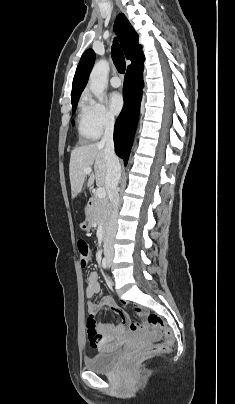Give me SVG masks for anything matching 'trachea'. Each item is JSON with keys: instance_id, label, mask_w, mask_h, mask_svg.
Masks as SVG:
<instances>
[{"instance_id": "trachea-1", "label": "trachea", "mask_w": 235, "mask_h": 404, "mask_svg": "<svg viewBox=\"0 0 235 404\" xmlns=\"http://www.w3.org/2000/svg\"><path fill=\"white\" fill-rule=\"evenodd\" d=\"M112 59L114 62V65L116 67V69L118 70L119 73H124L125 69H126V63H125V58H124V54L119 46V44L117 43V41H114L113 45H112Z\"/></svg>"}]
</instances>
